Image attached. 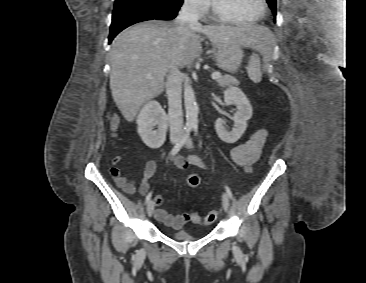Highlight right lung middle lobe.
Instances as JSON below:
<instances>
[{
  "label": "right lung middle lobe",
  "instance_id": "right-lung-middle-lobe-1",
  "mask_svg": "<svg viewBox=\"0 0 366 283\" xmlns=\"http://www.w3.org/2000/svg\"><path fill=\"white\" fill-rule=\"evenodd\" d=\"M165 5L176 8L182 5L183 0H162Z\"/></svg>",
  "mask_w": 366,
  "mask_h": 283
}]
</instances>
